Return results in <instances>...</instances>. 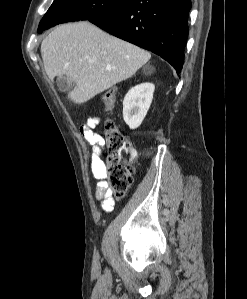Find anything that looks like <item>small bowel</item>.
I'll use <instances>...</instances> for the list:
<instances>
[{
  "label": "small bowel",
  "instance_id": "small-bowel-1",
  "mask_svg": "<svg viewBox=\"0 0 247 299\" xmlns=\"http://www.w3.org/2000/svg\"><path fill=\"white\" fill-rule=\"evenodd\" d=\"M98 123V117H88L85 124L80 127V133L85 141L92 146L90 167L94 177L100 180L97 183L95 199L101 203L103 211L109 213L114 208L115 200L112 197V193L107 188L105 181L102 180L104 164L101 159V155L104 146V139L99 133L94 131Z\"/></svg>",
  "mask_w": 247,
  "mask_h": 299
}]
</instances>
